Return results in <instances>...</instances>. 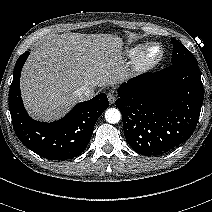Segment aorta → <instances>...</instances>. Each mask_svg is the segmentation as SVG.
I'll return each mask as SVG.
<instances>
[{
	"label": "aorta",
	"mask_w": 212,
	"mask_h": 212,
	"mask_svg": "<svg viewBox=\"0 0 212 212\" xmlns=\"http://www.w3.org/2000/svg\"><path fill=\"white\" fill-rule=\"evenodd\" d=\"M105 119L108 123L116 124L121 119V113L116 108H109L105 111Z\"/></svg>",
	"instance_id": "1"
}]
</instances>
